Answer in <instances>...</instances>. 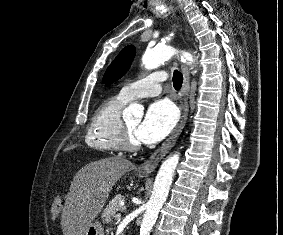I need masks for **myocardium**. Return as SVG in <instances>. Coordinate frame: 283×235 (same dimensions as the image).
Returning <instances> with one entry per match:
<instances>
[{"instance_id":"1","label":"myocardium","mask_w":283,"mask_h":235,"mask_svg":"<svg viewBox=\"0 0 283 235\" xmlns=\"http://www.w3.org/2000/svg\"><path fill=\"white\" fill-rule=\"evenodd\" d=\"M118 143L121 150L134 152L140 148V142L133 138L125 122H121L118 131Z\"/></svg>"}]
</instances>
